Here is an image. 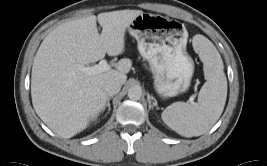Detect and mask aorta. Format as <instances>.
I'll list each match as a JSON object with an SVG mask.
<instances>
[{"mask_svg":"<svg viewBox=\"0 0 267 166\" xmlns=\"http://www.w3.org/2000/svg\"><path fill=\"white\" fill-rule=\"evenodd\" d=\"M141 95H142V90L139 87L134 86L128 90V97L131 100L134 101L139 100L141 98Z\"/></svg>","mask_w":267,"mask_h":166,"instance_id":"1","label":"aorta"}]
</instances>
